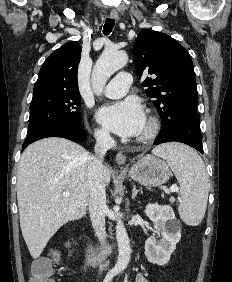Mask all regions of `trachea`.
<instances>
[{"mask_svg":"<svg viewBox=\"0 0 232 282\" xmlns=\"http://www.w3.org/2000/svg\"><path fill=\"white\" fill-rule=\"evenodd\" d=\"M115 20L114 19H107L104 28H103V34L109 35L114 27Z\"/></svg>","mask_w":232,"mask_h":282,"instance_id":"obj_1","label":"trachea"}]
</instances>
